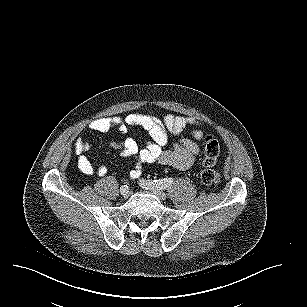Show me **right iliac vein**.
<instances>
[{"mask_svg": "<svg viewBox=\"0 0 307 307\" xmlns=\"http://www.w3.org/2000/svg\"><path fill=\"white\" fill-rule=\"evenodd\" d=\"M120 193H121V195H122L123 197H125V198L128 197V196L130 195L129 188H127V187H125V188L121 187Z\"/></svg>", "mask_w": 307, "mask_h": 307, "instance_id": "1", "label": "right iliac vein"}]
</instances>
